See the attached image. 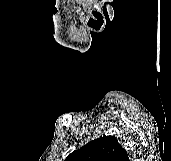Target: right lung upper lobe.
Here are the masks:
<instances>
[{
	"label": "right lung upper lobe",
	"instance_id": "cb5924a9",
	"mask_svg": "<svg viewBox=\"0 0 171 161\" xmlns=\"http://www.w3.org/2000/svg\"><path fill=\"white\" fill-rule=\"evenodd\" d=\"M65 161H130L126 150L113 136L90 141L72 152Z\"/></svg>",
	"mask_w": 171,
	"mask_h": 161
}]
</instances>
